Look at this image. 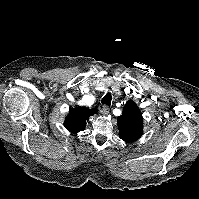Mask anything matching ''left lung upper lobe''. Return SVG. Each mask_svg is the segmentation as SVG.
<instances>
[{
    "label": "left lung upper lobe",
    "instance_id": "5c2ea615",
    "mask_svg": "<svg viewBox=\"0 0 199 199\" xmlns=\"http://www.w3.org/2000/svg\"><path fill=\"white\" fill-rule=\"evenodd\" d=\"M119 137L127 143L138 140L143 134V117L135 102H126L123 114L118 117Z\"/></svg>",
    "mask_w": 199,
    "mask_h": 199
}]
</instances>
